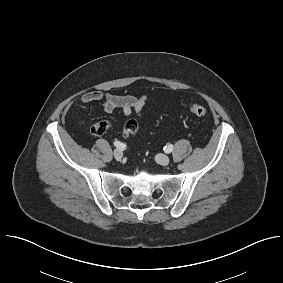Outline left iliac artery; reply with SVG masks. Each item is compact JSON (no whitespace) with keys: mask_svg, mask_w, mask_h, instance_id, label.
Listing matches in <instances>:
<instances>
[{"mask_svg":"<svg viewBox=\"0 0 283 283\" xmlns=\"http://www.w3.org/2000/svg\"><path fill=\"white\" fill-rule=\"evenodd\" d=\"M164 150H165L166 153L172 152L173 151V145L169 144V145L165 146Z\"/></svg>","mask_w":283,"mask_h":283,"instance_id":"44dca946","label":"left iliac artery"}]
</instances>
